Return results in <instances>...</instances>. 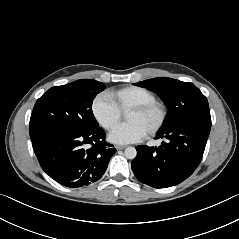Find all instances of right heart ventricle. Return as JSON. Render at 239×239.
Returning a JSON list of instances; mask_svg holds the SVG:
<instances>
[{"label": "right heart ventricle", "instance_id": "obj_1", "mask_svg": "<svg viewBox=\"0 0 239 239\" xmlns=\"http://www.w3.org/2000/svg\"><path fill=\"white\" fill-rule=\"evenodd\" d=\"M108 97L122 112H128L132 107L156 102V96L150 90L139 86H128L107 93Z\"/></svg>", "mask_w": 239, "mask_h": 239}]
</instances>
